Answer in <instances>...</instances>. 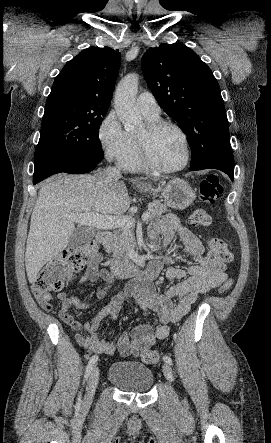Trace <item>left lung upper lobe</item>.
Masks as SVG:
<instances>
[{"label": "left lung upper lobe", "mask_w": 271, "mask_h": 443, "mask_svg": "<svg viewBox=\"0 0 271 443\" xmlns=\"http://www.w3.org/2000/svg\"><path fill=\"white\" fill-rule=\"evenodd\" d=\"M141 68L158 103L188 138L190 167L208 161L233 166L220 87L200 57L182 43H164L146 51Z\"/></svg>", "instance_id": "left-lung-upper-lobe-1"}]
</instances>
